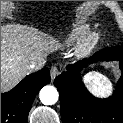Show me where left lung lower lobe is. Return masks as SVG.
<instances>
[{
	"instance_id": "1",
	"label": "left lung lower lobe",
	"mask_w": 123,
	"mask_h": 123,
	"mask_svg": "<svg viewBox=\"0 0 123 123\" xmlns=\"http://www.w3.org/2000/svg\"><path fill=\"white\" fill-rule=\"evenodd\" d=\"M113 60L120 62L122 71L117 90L107 99L95 98L85 88L80 73L92 62ZM66 69L54 80L63 123H123V45L102 49Z\"/></svg>"
}]
</instances>
